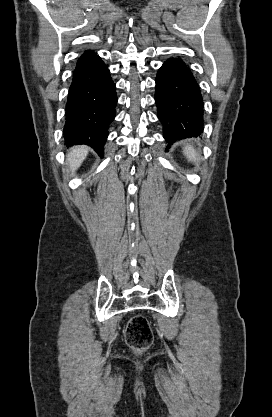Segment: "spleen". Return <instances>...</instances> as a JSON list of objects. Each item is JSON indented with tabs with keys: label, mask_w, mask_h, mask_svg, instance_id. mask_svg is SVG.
Segmentation results:
<instances>
[{
	"label": "spleen",
	"mask_w": 272,
	"mask_h": 417,
	"mask_svg": "<svg viewBox=\"0 0 272 417\" xmlns=\"http://www.w3.org/2000/svg\"><path fill=\"white\" fill-rule=\"evenodd\" d=\"M183 153L189 161L194 162V163H198L199 154L190 144L187 143L185 145V147L183 149Z\"/></svg>",
	"instance_id": "3e777b00"
}]
</instances>
